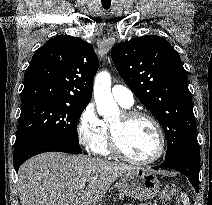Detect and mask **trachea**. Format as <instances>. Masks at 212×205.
I'll return each mask as SVG.
<instances>
[{
    "label": "trachea",
    "instance_id": "obj_1",
    "mask_svg": "<svg viewBox=\"0 0 212 205\" xmlns=\"http://www.w3.org/2000/svg\"><path fill=\"white\" fill-rule=\"evenodd\" d=\"M102 6H103L104 9H109L110 8V4H103L102 3Z\"/></svg>",
    "mask_w": 212,
    "mask_h": 205
}]
</instances>
